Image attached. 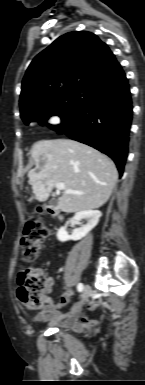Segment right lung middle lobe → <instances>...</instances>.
<instances>
[{
	"label": "right lung middle lobe",
	"instance_id": "1",
	"mask_svg": "<svg viewBox=\"0 0 145 385\" xmlns=\"http://www.w3.org/2000/svg\"><path fill=\"white\" fill-rule=\"evenodd\" d=\"M93 91L85 89L71 90L50 102L27 111L21 118L26 124L39 122L52 129H58L67 124L88 102ZM57 115L61 118V124L53 126L44 124L50 116Z\"/></svg>",
	"mask_w": 145,
	"mask_h": 385
}]
</instances>
